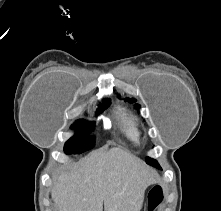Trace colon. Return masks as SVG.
Masks as SVG:
<instances>
[{
    "instance_id": "5ec220e1",
    "label": "colon",
    "mask_w": 221,
    "mask_h": 211,
    "mask_svg": "<svg viewBox=\"0 0 221 211\" xmlns=\"http://www.w3.org/2000/svg\"><path fill=\"white\" fill-rule=\"evenodd\" d=\"M164 192L162 186L153 187L148 194L149 211L155 210L163 201Z\"/></svg>"
}]
</instances>
